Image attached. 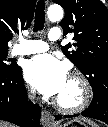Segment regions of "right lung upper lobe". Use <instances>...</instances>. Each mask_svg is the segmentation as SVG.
Here are the masks:
<instances>
[{
	"label": "right lung upper lobe",
	"mask_w": 108,
	"mask_h": 127,
	"mask_svg": "<svg viewBox=\"0 0 108 127\" xmlns=\"http://www.w3.org/2000/svg\"><path fill=\"white\" fill-rule=\"evenodd\" d=\"M35 4L36 0L0 1V50H8L13 34L31 25Z\"/></svg>",
	"instance_id": "right-lung-upper-lobe-1"
}]
</instances>
